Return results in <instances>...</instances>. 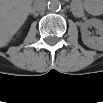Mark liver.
Here are the masks:
<instances>
[{"instance_id": "liver-1", "label": "liver", "mask_w": 103, "mask_h": 103, "mask_svg": "<svg viewBox=\"0 0 103 103\" xmlns=\"http://www.w3.org/2000/svg\"><path fill=\"white\" fill-rule=\"evenodd\" d=\"M30 2L25 0H5L1 2L0 43L6 46L26 21Z\"/></svg>"}]
</instances>
